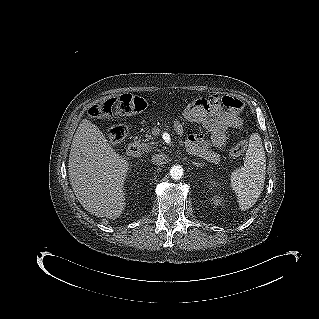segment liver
<instances>
[{
  "label": "liver",
  "mask_w": 319,
  "mask_h": 319,
  "mask_svg": "<svg viewBox=\"0 0 319 319\" xmlns=\"http://www.w3.org/2000/svg\"><path fill=\"white\" fill-rule=\"evenodd\" d=\"M70 149L69 180L80 204L97 217L118 218L125 208L128 160L115 152L88 119L80 122Z\"/></svg>",
  "instance_id": "obj_1"
}]
</instances>
